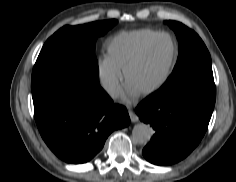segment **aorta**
Wrapping results in <instances>:
<instances>
[{
  "mask_svg": "<svg viewBox=\"0 0 236 182\" xmlns=\"http://www.w3.org/2000/svg\"><path fill=\"white\" fill-rule=\"evenodd\" d=\"M152 129L145 123H137L132 130L133 140L139 144H145L152 137Z\"/></svg>",
  "mask_w": 236,
  "mask_h": 182,
  "instance_id": "obj_1",
  "label": "aorta"
}]
</instances>
